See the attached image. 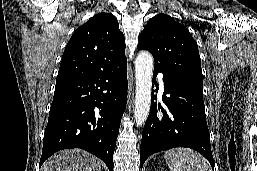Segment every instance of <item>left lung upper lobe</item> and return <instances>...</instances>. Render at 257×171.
<instances>
[{"label":"left lung upper lobe","mask_w":257,"mask_h":171,"mask_svg":"<svg viewBox=\"0 0 257 171\" xmlns=\"http://www.w3.org/2000/svg\"><path fill=\"white\" fill-rule=\"evenodd\" d=\"M140 50H148L155 66L186 77L203 87L201 59L196 41L190 32L164 14L152 17L139 35Z\"/></svg>","instance_id":"1"}]
</instances>
